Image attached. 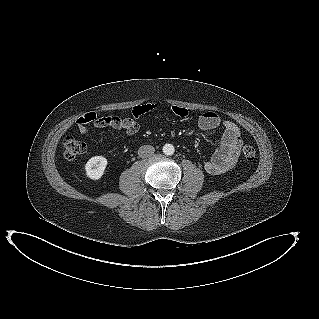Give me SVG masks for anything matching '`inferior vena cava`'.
Instances as JSON below:
<instances>
[{
  "label": "inferior vena cava",
  "instance_id": "1",
  "mask_svg": "<svg viewBox=\"0 0 319 319\" xmlns=\"http://www.w3.org/2000/svg\"><path fill=\"white\" fill-rule=\"evenodd\" d=\"M154 152H155V149L151 145H143L138 150V154L141 158H146L152 155Z\"/></svg>",
  "mask_w": 319,
  "mask_h": 319
}]
</instances>
